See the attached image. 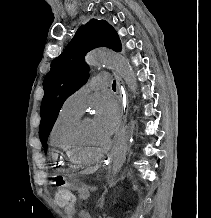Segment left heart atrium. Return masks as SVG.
I'll use <instances>...</instances> for the list:
<instances>
[{
  "label": "left heart atrium",
  "mask_w": 211,
  "mask_h": 218,
  "mask_svg": "<svg viewBox=\"0 0 211 218\" xmlns=\"http://www.w3.org/2000/svg\"><path fill=\"white\" fill-rule=\"evenodd\" d=\"M94 124L96 128L110 137L118 128L120 114L114 98L110 95L99 96L95 103Z\"/></svg>",
  "instance_id": "obj_1"
}]
</instances>
